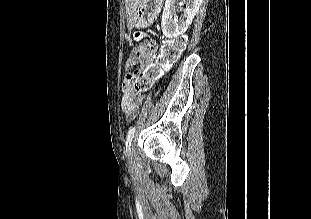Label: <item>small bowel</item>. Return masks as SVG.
Here are the masks:
<instances>
[{
	"label": "small bowel",
	"instance_id": "c3829d8e",
	"mask_svg": "<svg viewBox=\"0 0 311 219\" xmlns=\"http://www.w3.org/2000/svg\"><path fill=\"white\" fill-rule=\"evenodd\" d=\"M131 77L126 76L122 82V99L121 108L125 115L132 118L136 115L139 109V105L143 99L140 93H137L131 88Z\"/></svg>",
	"mask_w": 311,
	"mask_h": 219
}]
</instances>
